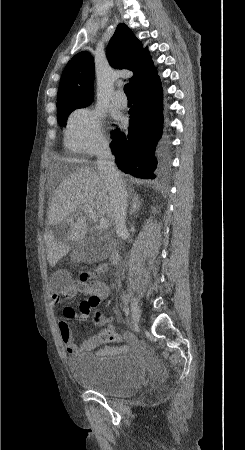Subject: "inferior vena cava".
<instances>
[{"mask_svg": "<svg viewBox=\"0 0 245 450\" xmlns=\"http://www.w3.org/2000/svg\"><path fill=\"white\" fill-rule=\"evenodd\" d=\"M114 159L108 145H103L99 149L97 153L98 173L109 193L116 234L121 236L126 232L127 191L122 176L115 167Z\"/></svg>", "mask_w": 245, "mask_h": 450, "instance_id": "inferior-vena-cava-1", "label": "inferior vena cava"}]
</instances>
